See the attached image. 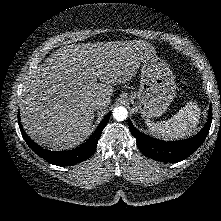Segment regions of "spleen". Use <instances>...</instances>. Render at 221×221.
<instances>
[{"label":"spleen","instance_id":"obj_1","mask_svg":"<svg viewBox=\"0 0 221 221\" xmlns=\"http://www.w3.org/2000/svg\"><path fill=\"white\" fill-rule=\"evenodd\" d=\"M200 108L192 101L186 103L177 114L159 123L146 120V125L156 137L166 140L183 139L195 132L199 123Z\"/></svg>","mask_w":221,"mask_h":221}]
</instances>
